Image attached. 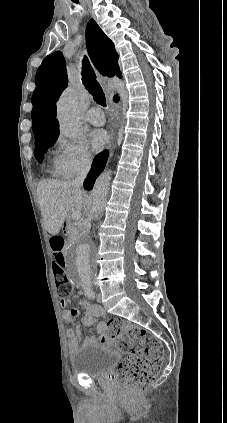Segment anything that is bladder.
<instances>
[{"label":"bladder","mask_w":227,"mask_h":423,"mask_svg":"<svg viewBox=\"0 0 227 423\" xmlns=\"http://www.w3.org/2000/svg\"><path fill=\"white\" fill-rule=\"evenodd\" d=\"M118 360L114 352L105 351L98 344L84 345L72 357L71 369L90 379L104 380L111 375L109 370L117 365Z\"/></svg>","instance_id":"obj_1"}]
</instances>
